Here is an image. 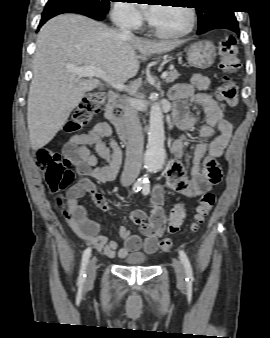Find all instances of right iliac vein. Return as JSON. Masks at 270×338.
I'll return each instance as SVG.
<instances>
[{
    "instance_id": "63e3f726",
    "label": "right iliac vein",
    "mask_w": 270,
    "mask_h": 338,
    "mask_svg": "<svg viewBox=\"0 0 270 338\" xmlns=\"http://www.w3.org/2000/svg\"><path fill=\"white\" fill-rule=\"evenodd\" d=\"M96 259L93 258L90 260L89 264H88V268H87V277H86V285H91L96 277Z\"/></svg>"
}]
</instances>
